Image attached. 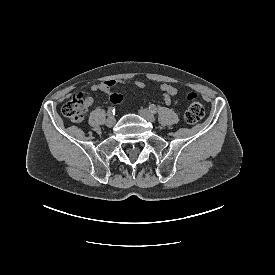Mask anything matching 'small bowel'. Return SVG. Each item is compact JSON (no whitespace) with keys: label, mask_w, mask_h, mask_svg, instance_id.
Segmentation results:
<instances>
[{"label":"small bowel","mask_w":275,"mask_h":275,"mask_svg":"<svg viewBox=\"0 0 275 275\" xmlns=\"http://www.w3.org/2000/svg\"><path fill=\"white\" fill-rule=\"evenodd\" d=\"M117 83H125V81L114 80V79L106 80L98 84H93L90 87V91L91 92L101 91V92L107 93L110 101L114 104H118L123 101V95L113 90L114 86ZM134 85L140 89H144L146 87V83L141 80H136L134 82ZM159 90L162 93L164 103L167 106L175 105L178 103V98H177L178 89L174 85L170 83H162L159 85ZM87 99H88L89 105H91L93 103V98L88 95Z\"/></svg>","instance_id":"1"}]
</instances>
